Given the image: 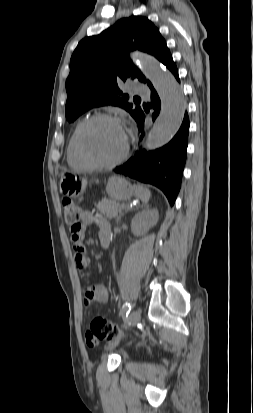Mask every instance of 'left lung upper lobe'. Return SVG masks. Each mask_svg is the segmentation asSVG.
<instances>
[{
  "instance_id": "obj_1",
  "label": "left lung upper lobe",
  "mask_w": 253,
  "mask_h": 413,
  "mask_svg": "<svg viewBox=\"0 0 253 413\" xmlns=\"http://www.w3.org/2000/svg\"><path fill=\"white\" fill-rule=\"evenodd\" d=\"M136 49L154 55L164 65L171 57L159 30L142 16L120 19L99 35L79 42L66 80L68 121L90 108L108 104L124 108L134 119L139 116L142 109L128 103L129 96L119 88L126 79L151 85L129 58V52Z\"/></svg>"
}]
</instances>
